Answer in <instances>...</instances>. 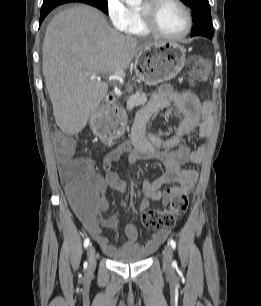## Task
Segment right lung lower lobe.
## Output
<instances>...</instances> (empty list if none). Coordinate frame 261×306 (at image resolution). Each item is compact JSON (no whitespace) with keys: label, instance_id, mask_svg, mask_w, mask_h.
<instances>
[{"label":"right lung lower lobe","instance_id":"obj_1","mask_svg":"<svg viewBox=\"0 0 261 306\" xmlns=\"http://www.w3.org/2000/svg\"><path fill=\"white\" fill-rule=\"evenodd\" d=\"M55 7L47 8V9H41V15H40V21L39 25L43 22L44 18L47 16V14L54 9Z\"/></svg>","mask_w":261,"mask_h":306}]
</instances>
